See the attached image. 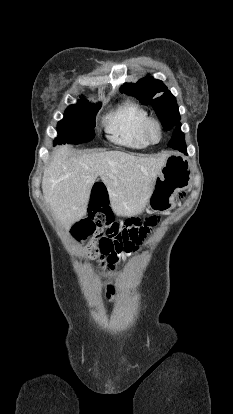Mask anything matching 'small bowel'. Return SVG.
<instances>
[{"label":"small bowel","mask_w":233,"mask_h":414,"mask_svg":"<svg viewBox=\"0 0 233 414\" xmlns=\"http://www.w3.org/2000/svg\"><path fill=\"white\" fill-rule=\"evenodd\" d=\"M144 232L146 233L147 231L144 230ZM129 252H116V251H106L103 252V257H99V262H104V257L107 258V262L104 264L106 267H108V270H112V267H119V265L121 266L122 264L120 262V257H124L126 255H128ZM100 266H102L103 264L100 263ZM111 267V268H110ZM103 270H105L106 268L103 267ZM107 288L109 287L108 285L106 286ZM114 289H116V284H110V288H109V293H114Z\"/></svg>","instance_id":"obj_1"}]
</instances>
